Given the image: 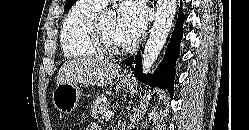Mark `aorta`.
Returning <instances> with one entry per match:
<instances>
[{
    "label": "aorta",
    "mask_w": 249,
    "mask_h": 130,
    "mask_svg": "<svg viewBox=\"0 0 249 130\" xmlns=\"http://www.w3.org/2000/svg\"><path fill=\"white\" fill-rule=\"evenodd\" d=\"M177 0H158L156 17L142 56V70L147 73L160 54L171 30Z\"/></svg>",
    "instance_id": "aorta-1"
}]
</instances>
